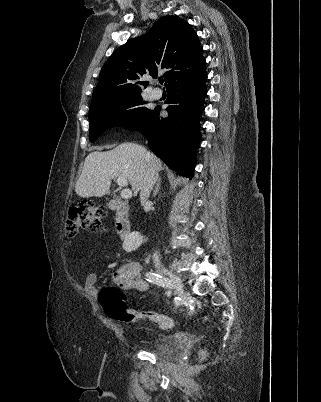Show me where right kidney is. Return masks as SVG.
I'll use <instances>...</instances> for the list:
<instances>
[{
    "mask_svg": "<svg viewBox=\"0 0 321 402\" xmlns=\"http://www.w3.org/2000/svg\"><path fill=\"white\" fill-rule=\"evenodd\" d=\"M143 242V237L139 232H132L125 237L123 249L127 252L136 250Z\"/></svg>",
    "mask_w": 321,
    "mask_h": 402,
    "instance_id": "1",
    "label": "right kidney"
}]
</instances>
